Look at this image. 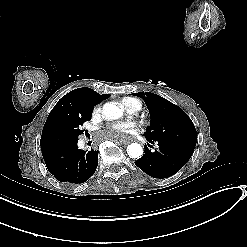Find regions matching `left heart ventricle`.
I'll list each match as a JSON object with an SVG mask.
<instances>
[{
    "mask_svg": "<svg viewBox=\"0 0 247 247\" xmlns=\"http://www.w3.org/2000/svg\"><path fill=\"white\" fill-rule=\"evenodd\" d=\"M118 125L126 132L129 143H135L134 137V122L128 117L125 116L122 120L117 122ZM137 148H134L133 151H136Z\"/></svg>",
    "mask_w": 247,
    "mask_h": 247,
    "instance_id": "1",
    "label": "left heart ventricle"
}]
</instances>
